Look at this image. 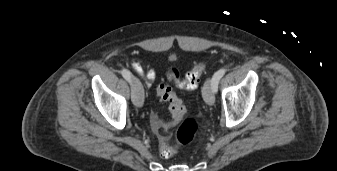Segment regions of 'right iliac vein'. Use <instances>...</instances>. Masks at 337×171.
I'll list each match as a JSON object with an SVG mask.
<instances>
[{
  "label": "right iliac vein",
  "mask_w": 337,
  "mask_h": 171,
  "mask_svg": "<svg viewBox=\"0 0 337 171\" xmlns=\"http://www.w3.org/2000/svg\"><path fill=\"white\" fill-rule=\"evenodd\" d=\"M131 99L135 106L142 107L144 103V92L140 81L132 76L130 79Z\"/></svg>",
  "instance_id": "right-iliac-vein-1"
}]
</instances>
